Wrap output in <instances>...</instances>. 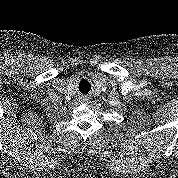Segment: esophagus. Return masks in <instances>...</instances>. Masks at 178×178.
I'll use <instances>...</instances> for the list:
<instances>
[{"instance_id":"1","label":"esophagus","mask_w":178,"mask_h":178,"mask_svg":"<svg viewBox=\"0 0 178 178\" xmlns=\"http://www.w3.org/2000/svg\"><path fill=\"white\" fill-rule=\"evenodd\" d=\"M81 102H83L84 104H87L89 102V98L86 95H84L81 97Z\"/></svg>"}]
</instances>
